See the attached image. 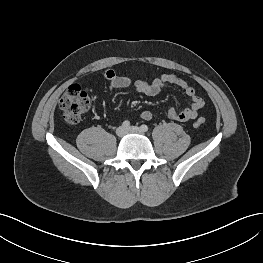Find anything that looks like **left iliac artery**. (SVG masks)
<instances>
[{
    "instance_id": "44dca946",
    "label": "left iliac artery",
    "mask_w": 263,
    "mask_h": 263,
    "mask_svg": "<svg viewBox=\"0 0 263 263\" xmlns=\"http://www.w3.org/2000/svg\"><path fill=\"white\" fill-rule=\"evenodd\" d=\"M141 130L143 131V132H146V131H148V126L147 125H145V124H143V125H141Z\"/></svg>"
}]
</instances>
